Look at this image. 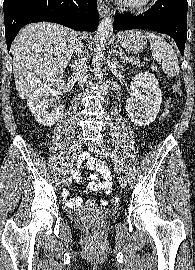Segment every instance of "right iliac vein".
I'll use <instances>...</instances> for the list:
<instances>
[{"label":"right iliac vein","mask_w":195,"mask_h":270,"mask_svg":"<svg viewBox=\"0 0 195 270\" xmlns=\"http://www.w3.org/2000/svg\"><path fill=\"white\" fill-rule=\"evenodd\" d=\"M81 146H82V140L80 137H78L77 139H75L73 143L72 152H71V160L69 164L66 166L65 171H64V177H63L64 184H68L70 182V175L72 174L73 169H74L73 162L79 155Z\"/></svg>","instance_id":"63e3f726"}]
</instances>
